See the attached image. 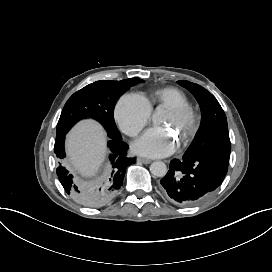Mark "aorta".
I'll return each mask as SVG.
<instances>
[{
  "label": "aorta",
  "mask_w": 272,
  "mask_h": 272,
  "mask_svg": "<svg viewBox=\"0 0 272 272\" xmlns=\"http://www.w3.org/2000/svg\"><path fill=\"white\" fill-rule=\"evenodd\" d=\"M164 114L162 106L156 108V112L153 114V122H160L161 115ZM167 166L162 161H155L150 165V172L157 177H164L167 174Z\"/></svg>",
  "instance_id": "762f6f07"
}]
</instances>
